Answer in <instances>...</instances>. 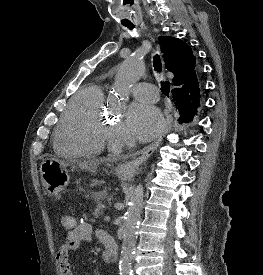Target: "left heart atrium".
<instances>
[{
  "mask_svg": "<svg viewBox=\"0 0 263 275\" xmlns=\"http://www.w3.org/2000/svg\"><path fill=\"white\" fill-rule=\"evenodd\" d=\"M163 127L162 114L155 106L136 102L129 107L124 128L132 139L151 140L162 131Z\"/></svg>",
  "mask_w": 263,
  "mask_h": 275,
  "instance_id": "1",
  "label": "left heart atrium"
}]
</instances>
